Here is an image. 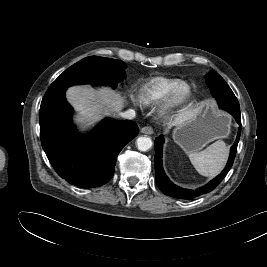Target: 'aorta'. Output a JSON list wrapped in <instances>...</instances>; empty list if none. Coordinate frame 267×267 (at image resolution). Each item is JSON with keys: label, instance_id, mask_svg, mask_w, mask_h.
<instances>
[{"label": "aorta", "instance_id": "obj_1", "mask_svg": "<svg viewBox=\"0 0 267 267\" xmlns=\"http://www.w3.org/2000/svg\"><path fill=\"white\" fill-rule=\"evenodd\" d=\"M136 142L138 150L143 152L148 151L153 144L149 137H139Z\"/></svg>", "mask_w": 267, "mask_h": 267}]
</instances>
